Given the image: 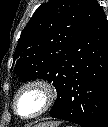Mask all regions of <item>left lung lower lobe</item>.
Wrapping results in <instances>:
<instances>
[{"instance_id":"1","label":"left lung lower lobe","mask_w":108,"mask_h":127,"mask_svg":"<svg viewBox=\"0 0 108 127\" xmlns=\"http://www.w3.org/2000/svg\"><path fill=\"white\" fill-rule=\"evenodd\" d=\"M50 115L83 127H108V23L89 0Z\"/></svg>"}]
</instances>
